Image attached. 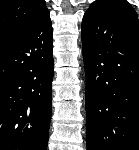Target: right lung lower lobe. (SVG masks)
<instances>
[{"instance_id": "98d812e1", "label": "right lung lower lobe", "mask_w": 139, "mask_h": 150, "mask_svg": "<svg viewBox=\"0 0 139 150\" xmlns=\"http://www.w3.org/2000/svg\"><path fill=\"white\" fill-rule=\"evenodd\" d=\"M47 13L0 40V150H46L52 108L53 40Z\"/></svg>"}]
</instances>
